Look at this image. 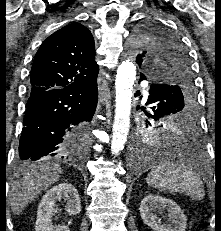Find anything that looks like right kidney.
I'll return each mask as SVG.
<instances>
[{"label":"right kidney","mask_w":221,"mask_h":231,"mask_svg":"<svg viewBox=\"0 0 221 231\" xmlns=\"http://www.w3.org/2000/svg\"><path fill=\"white\" fill-rule=\"evenodd\" d=\"M64 200L65 210L69 215H77L81 211L78 191L70 183H61L48 190L42 197L37 211L36 231H70L65 225L54 226L52 216L56 202Z\"/></svg>","instance_id":"1"}]
</instances>
